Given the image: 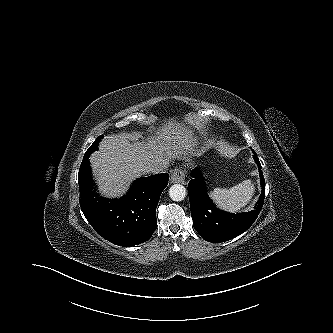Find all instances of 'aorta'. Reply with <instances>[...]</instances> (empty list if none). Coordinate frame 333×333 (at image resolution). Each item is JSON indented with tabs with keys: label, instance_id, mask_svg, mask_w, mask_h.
Segmentation results:
<instances>
[{
	"label": "aorta",
	"instance_id": "1",
	"mask_svg": "<svg viewBox=\"0 0 333 333\" xmlns=\"http://www.w3.org/2000/svg\"><path fill=\"white\" fill-rule=\"evenodd\" d=\"M186 189L181 184H174L169 189L170 198L173 201H182L186 197Z\"/></svg>",
	"mask_w": 333,
	"mask_h": 333
}]
</instances>
